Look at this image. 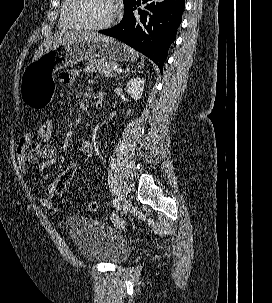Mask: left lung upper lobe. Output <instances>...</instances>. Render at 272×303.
Here are the masks:
<instances>
[{
	"instance_id": "1",
	"label": "left lung upper lobe",
	"mask_w": 272,
	"mask_h": 303,
	"mask_svg": "<svg viewBox=\"0 0 272 303\" xmlns=\"http://www.w3.org/2000/svg\"><path fill=\"white\" fill-rule=\"evenodd\" d=\"M136 0H124V7L127 8L129 5L134 3Z\"/></svg>"
}]
</instances>
